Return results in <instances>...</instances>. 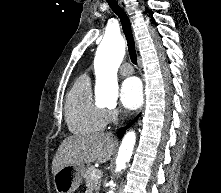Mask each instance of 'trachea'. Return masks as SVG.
Instances as JSON below:
<instances>
[{
	"mask_svg": "<svg viewBox=\"0 0 221 193\" xmlns=\"http://www.w3.org/2000/svg\"><path fill=\"white\" fill-rule=\"evenodd\" d=\"M112 9V11L120 18L123 32L125 34L127 44H128V51L130 55V59L133 64L137 65V54L135 48V41L133 38V34L131 31V25L129 18L122 7L118 4L117 0H106Z\"/></svg>",
	"mask_w": 221,
	"mask_h": 193,
	"instance_id": "3493384b",
	"label": "trachea"
}]
</instances>
